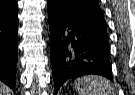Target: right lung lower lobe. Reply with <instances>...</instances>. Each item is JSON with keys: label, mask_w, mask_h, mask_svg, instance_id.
Here are the masks:
<instances>
[{"label": "right lung lower lobe", "mask_w": 135, "mask_h": 95, "mask_svg": "<svg viewBox=\"0 0 135 95\" xmlns=\"http://www.w3.org/2000/svg\"><path fill=\"white\" fill-rule=\"evenodd\" d=\"M18 56V16L0 18V80L13 90Z\"/></svg>", "instance_id": "98d812e1"}]
</instances>
